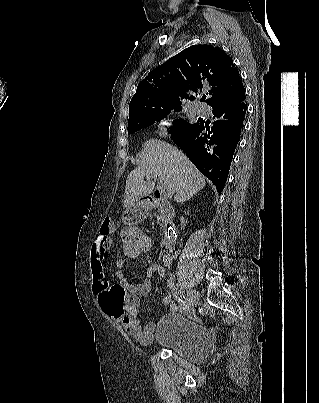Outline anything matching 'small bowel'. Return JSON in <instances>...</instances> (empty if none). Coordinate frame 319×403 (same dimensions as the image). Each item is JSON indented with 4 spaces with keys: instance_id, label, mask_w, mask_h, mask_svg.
<instances>
[{
    "instance_id": "small-bowel-1",
    "label": "small bowel",
    "mask_w": 319,
    "mask_h": 403,
    "mask_svg": "<svg viewBox=\"0 0 319 403\" xmlns=\"http://www.w3.org/2000/svg\"><path fill=\"white\" fill-rule=\"evenodd\" d=\"M114 225L106 220L102 223L91 252L90 268L93 279L92 289L98 297L101 312L110 318L118 320L131 338L139 344H149L153 340L155 325L148 323L144 326L138 320V306L140 297L150 293L153 288L152 281L156 275L165 278L167 269L172 266V258L164 255L161 264H150L146 271V279L142 281H130L123 272H119L120 284H108L104 268V254L109 245V234ZM168 280L167 279V285ZM169 287V285H168ZM170 288V287H169ZM126 290L128 294L126 295ZM165 305H172L170 291L162 298ZM173 309L175 308L172 306Z\"/></svg>"
}]
</instances>
